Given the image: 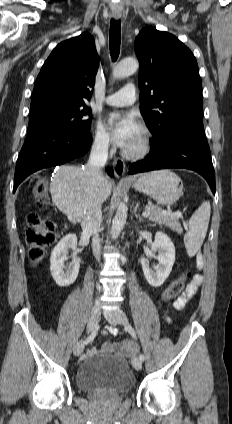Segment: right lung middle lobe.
I'll use <instances>...</instances> for the list:
<instances>
[{"label":"right lung middle lobe","instance_id":"dd1d6c3e","mask_svg":"<svg viewBox=\"0 0 232 424\" xmlns=\"http://www.w3.org/2000/svg\"><path fill=\"white\" fill-rule=\"evenodd\" d=\"M89 116L87 118L86 116ZM91 111L86 105L49 103L31 108L28 132L54 129L72 133L88 132Z\"/></svg>","mask_w":232,"mask_h":424}]
</instances>
